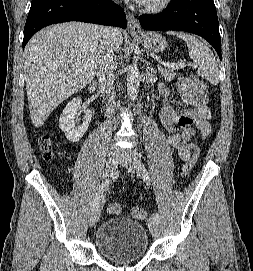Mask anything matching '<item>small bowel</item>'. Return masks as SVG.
Wrapping results in <instances>:
<instances>
[{
  "instance_id": "c3829d8e",
  "label": "small bowel",
  "mask_w": 253,
  "mask_h": 271,
  "mask_svg": "<svg viewBox=\"0 0 253 271\" xmlns=\"http://www.w3.org/2000/svg\"><path fill=\"white\" fill-rule=\"evenodd\" d=\"M183 101L189 105L183 110H174L167 105L169 91L166 86L159 85V92L163 104L160 109V122L170 133L168 142L177 150L178 157L186 161L193 150L197 148L192 141L197 134L202 139L207 138L211 132V112L206 105L205 96L196 85L195 81L188 77H180L177 81Z\"/></svg>"
}]
</instances>
